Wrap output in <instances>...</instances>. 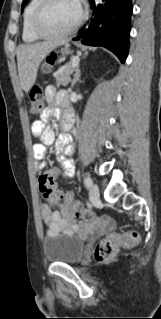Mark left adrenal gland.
<instances>
[{
	"mask_svg": "<svg viewBox=\"0 0 161 319\" xmlns=\"http://www.w3.org/2000/svg\"><path fill=\"white\" fill-rule=\"evenodd\" d=\"M80 76H81V73H80V69L78 65L74 74V79L72 81V87H74V85L79 81Z\"/></svg>",
	"mask_w": 161,
	"mask_h": 319,
	"instance_id": "left-adrenal-gland-1",
	"label": "left adrenal gland"
}]
</instances>
